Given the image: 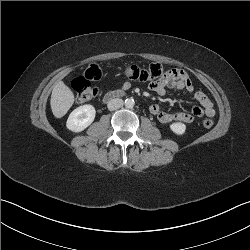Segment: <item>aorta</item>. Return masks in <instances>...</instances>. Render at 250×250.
Wrapping results in <instances>:
<instances>
[{"label":"aorta","instance_id":"aorta-1","mask_svg":"<svg viewBox=\"0 0 250 250\" xmlns=\"http://www.w3.org/2000/svg\"><path fill=\"white\" fill-rule=\"evenodd\" d=\"M134 105H135V101H134L133 98H127V99L125 100V106H126L127 108H133Z\"/></svg>","mask_w":250,"mask_h":250}]
</instances>
